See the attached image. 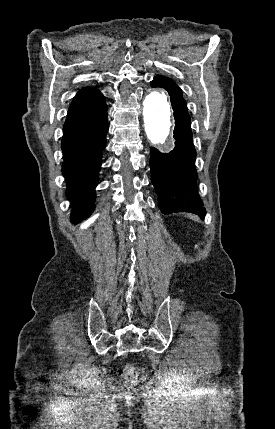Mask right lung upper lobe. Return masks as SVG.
Masks as SVG:
<instances>
[{"instance_id":"1","label":"right lung upper lobe","mask_w":275,"mask_h":429,"mask_svg":"<svg viewBox=\"0 0 275 429\" xmlns=\"http://www.w3.org/2000/svg\"><path fill=\"white\" fill-rule=\"evenodd\" d=\"M107 108L104 96L91 87L82 88L74 97L64 125L91 119Z\"/></svg>"}]
</instances>
